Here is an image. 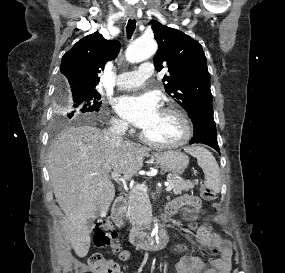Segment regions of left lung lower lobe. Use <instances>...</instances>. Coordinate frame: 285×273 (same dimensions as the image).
I'll return each mask as SVG.
<instances>
[{
    "instance_id": "0a47b994",
    "label": "left lung lower lobe",
    "mask_w": 285,
    "mask_h": 273,
    "mask_svg": "<svg viewBox=\"0 0 285 273\" xmlns=\"http://www.w3.org/2000/svg\"><path fill=\"white\" fill-rule=\"evenodd\" d=\"M190 118L194 125V137L190 140V144H206L219 152L213 110L195 112Z\"/></svg>"
}]
</instances>
